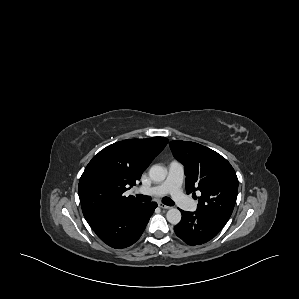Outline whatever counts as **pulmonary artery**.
Wrapping results in <instances>:
<instances>
[{"label": "pulmonary artery", "instance_id": "e3ab8cb5", "mask_svg": "<svg viewBox=\"0 0 299 299\" xmlns=\"http://www.w3.org/2000/svg\"><path fill=\"white\" fill-rule=\"evenodd\" d=\"M183 178L184 166L178 161H172L168 165L167 178L163 183L153 187H143L138 191L142 194L151 196H163L169 194L181 208L194 210L196 204L189 200L182 192L181 185Z\"/></svg>", "mask_w": 299, "mask_h": 299}]
</instances>
